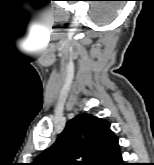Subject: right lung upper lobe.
I'll return each mask as SVG.
<instances>
[{
    "label": "right lung upper lobe",
    "mask_w": 154,
    "mask_h": 165,
    "mask_svg": "<svg viewBox=\"0 0 154 165\" xmlns=\"http://www.w3.org/2000/svg\"><path fill=\"white\" fill-rule=\"evenodd\" d=\"M113 136L106 120L89 114L78 115L67 122L56 142L32 165H94Z\"/></svg>",
    "instance_id": "cb5924a9"
}]
</instances>
